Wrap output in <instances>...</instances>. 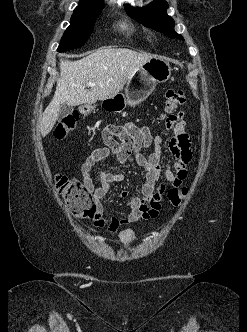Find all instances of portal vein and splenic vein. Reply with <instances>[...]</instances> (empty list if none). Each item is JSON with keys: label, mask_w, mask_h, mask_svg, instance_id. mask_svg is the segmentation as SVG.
I'll use <instances>...</instances> for the list:
<instances>
[{"label": "portal vein and splenic vein", "mask_w": 247, "mask_h": 332, "mask_svg": "<svg viewBox=\"0 0 247 332\" xmlns=\"http://www.w3.org/2000/svg\"><path fill=\"white\" fill-rule=\"evenodd\" d=\"M95 85H96V83H93V82H88L87 83V86H90V87L95 86Z\"/></svg>", "instance_id": "portal-vein-and-splenic-vein-1"}]
</instances>
